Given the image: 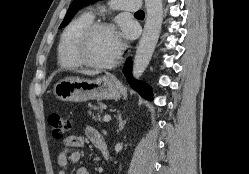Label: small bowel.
I'll use <instances>...</instances> for the list:
<instances>
[{"label": "small bowel", "instance_id": "1", "mask_svg": "<svg viewBox=\"0 0 249 174\" xmlns=\"http://www.w3.org/2000/svg\"><path fill=\"white\" fill-rule=\"evenodd\" d=\"M85 136L70 135L65 138L63 143V149L58 155V164L61 167L59 174H67V169L70 165L76 164L81 159L79 151L75 148L82 147L85 144L86 139H89L95 147L102 154V145L107 146V143L100 132L93 125H86L84 129ZM74 174H90L85 167H77L74 170Z\"/></svg>", "mask_w": 249, "mask_h": 174}]
</instances>
